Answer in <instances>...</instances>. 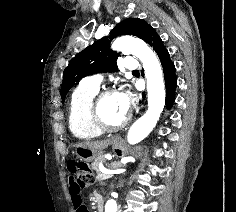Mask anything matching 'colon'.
Wrapping results in <instances>:
<instances>
[{"instance_id":"obj_1","label":"colon","mask_w":236,"mask_h":212,"mask_svg":"<svg viewBox=\"0 0 236 212\" xmlns=\"http://www.w3.org/2000/svg\"><path fill=\"white\" fill-rule=\"evenodd\" d=\"M69 175H77L81 185L89 186L93 182V174L89 166L83 162L72 160L68 164Z\"/></svg>"}]
</instances>
